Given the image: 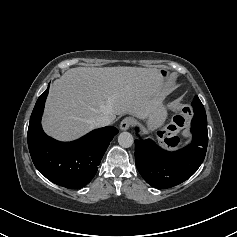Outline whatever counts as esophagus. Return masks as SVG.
<instances>
[{
  "label": "esophagus",
  "mask_w": 237,
  "mask_h": 237,
  "mask_svg": "<svg viewBox=\"0 0 237 237\" xmlns=\"http://www.w3.org/2000/svg\"><path fill=\"white\" fill-rule=\"evenodd\" d=\"M132 123H133V119L130 117H126L121 121L120 129L123 131H126V130L130 129V127L132 126Z\"/></svg>",
  "instance_id": "esophagus-1"
}]
</instances>
